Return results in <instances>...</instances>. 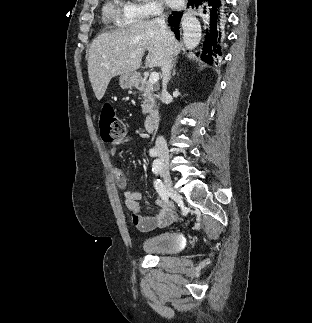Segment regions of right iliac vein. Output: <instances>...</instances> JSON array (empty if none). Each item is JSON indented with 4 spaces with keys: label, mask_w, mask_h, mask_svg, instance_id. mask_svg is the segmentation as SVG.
<instances>
[{
    "label": "right iliac vein",
    "mask_w": 312,
    "mask_h": 323,
    "mask_svg": "<svg viewBox=\"0 0 312 323\" xmlns=\"http://www.w3.org/2000/svg\"><path fill=\"white\" fill-rule=\"evenodd\" d=\"M159 172L161 177L164 180L165 187L169 191V193L173 195L175 198H181L180 195L173 188V183H172L168 166L162 165L159 169Z\"/></svg>",
    "instance_id": "1"
}]
</instances>
